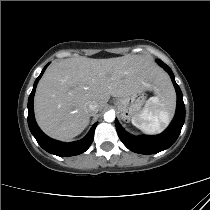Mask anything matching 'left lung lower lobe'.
<instances>
[{
	"label": "left lung lower lobe",
	"mask_w": 210,
	"mask_h": 210,
	"mask_svg": "<svg viewBox=\"0 0 210 210\" xmlns=\"http://www.w3.org/2000/svg\"><path fill=\"white\" fill-rule=\"evenodd\" d=\"M157 62L168 72L177 92L176 114L170 126L163 133L156 136L135 137L125 132L118 121L115 120L117 133L123 144L129 150L140 154H155L169 148L177 140L185 120L183 95L175 82L174 74L161 60L158 59Z\"/></svg>",
	"instance_id": "left-lung-lower-lobe-1"
}]
</instances>
